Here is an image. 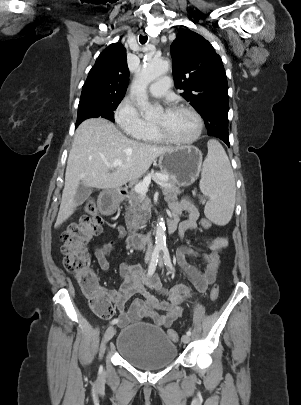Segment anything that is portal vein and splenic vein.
Masks as SVG:
<instances>
[{
    "label": "portal vein and splenic vein",
    "mask_w": 301,
    "mask_h": 405,
    "mask_svg": "<svg viewBox=\"0 0 301 405\" xmlns=\"http://www.w3.org/2000/svg\"><path fill=\"white\" fill-rule=\"evenodd\" d=\"M122 164L120 159H115L111 164H108V168H115L117 166H120ZM156 179L160 181L159 184H162V182L168 180V176L163 175V174H155ZM151 183V176H147L144 178V180L140 183H138L135 187L134 190L139 193V194H145L148 191V187Z\"/></svg>",
    "instance_id": "portal-vein-and-splenic-vein-1"
}]
</instances>
